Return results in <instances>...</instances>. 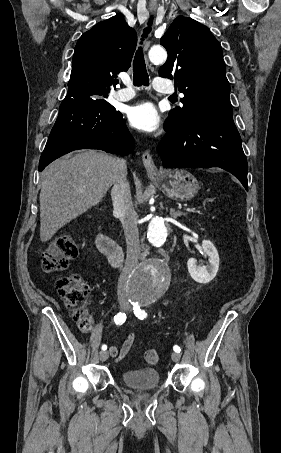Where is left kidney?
I'll return each mask as SVG.
<instances>
[{
	"instance_id": "obj_1",
	"label": "left kidney",
	"mask_w": 281,
	"mask_h": 453,
	"mask_svg": "<svg viewBox=\"0 0 281 453\" xmlns=\"http://www.w3.org/2000/svg\"><path fill=\"white\" fill-rule=\"evenodd\" d=\"M203 253H206L208 257V265L206 267H198L196 259H189L188 271L196 281V283H210L217 275L219 269V255L216 247H214L211 241H202Z\"/></svg>"
}]
</instances>
